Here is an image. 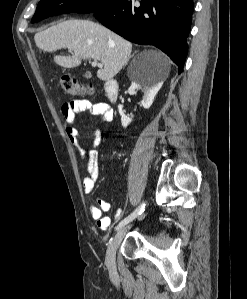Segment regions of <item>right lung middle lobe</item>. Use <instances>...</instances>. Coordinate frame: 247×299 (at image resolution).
Here are the masks:
<instances>
[{"label":"right lung middle lobe","instance_id":"1","mask_svg":"<svg viewBox=\"0 0 247 299\" xmlns=\"http://www.w3.org/2000/svg\"><path fill=\"white\" fill-rule=\"evenodd\" d=\"M121 0H41L32 23L64 13H93Z\"/></svg>","mask_w":247,"mask_h":299}]
</instances>
